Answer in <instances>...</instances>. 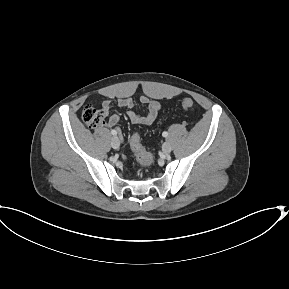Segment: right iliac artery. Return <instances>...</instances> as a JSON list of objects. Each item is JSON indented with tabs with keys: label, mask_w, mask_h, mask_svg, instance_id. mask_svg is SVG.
I'll return each instance as SVG.
<instances>
[{
	"label": "right iliac artery",
	"mask_w": 289,
	"mask_h": 289,
	"mask_svg": "<svg viewBox=\"0 0 289 289\" xmlns=\"http://www.w3.org/2000/svg\"><path fill=\"white\" fill-rule=\"evenodd\" d=\"M111 134H112V135H117V131H116V130H112V131H111Z\"/></svg>",
	"instance_id": "right-iliac-artery-1"
}]
</instances>
